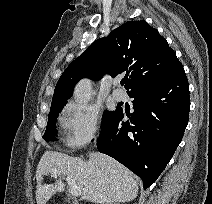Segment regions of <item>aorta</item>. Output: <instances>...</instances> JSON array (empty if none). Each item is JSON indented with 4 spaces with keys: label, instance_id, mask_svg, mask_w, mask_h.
<instances>
[{
    "label": "aorta",
    "instance_id": "obj_1",
    "mask_svg": "<svg viewBox=\"0 0 212 204\" xmlns=\"http://www.w3.org/2000/svg\"><path fill=\"white\" fill-rule=\"evenodd\" d=\"M91 97V83L87 79L81 80L75 87L74 99L76 103L86 105Z\"/></svg>",
    "mask_w": 212,
    "mask_h": 204
}]
</instances>
